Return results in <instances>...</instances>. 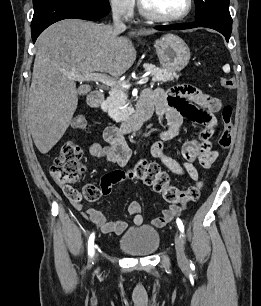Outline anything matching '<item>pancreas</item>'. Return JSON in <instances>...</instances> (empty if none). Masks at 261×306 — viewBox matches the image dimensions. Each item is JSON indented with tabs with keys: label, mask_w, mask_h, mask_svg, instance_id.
Listing matches in <instances>:
<instances>
[{
	"label": "pancreas",
	"mask_w": 261,
	"mask_h": 306,
	"mask_svg": "<svg viewBox=\"0 0 261 306\" xmlns=\"http://www.w3.org/2000/svg\"><path fill=\"white\" fill-rule=\"evenodd\" d=\"M144 68L146 71L151 72L153 82L164 83L179 78V75L174 71L161 69L155 65L145 64ZM127 91L128 88L124 87L112 88L109 92V97L104 103L105 111L116 122L125 121L130 114V109L127 107Z\"/></svg>",
	"instance_id": "cf45deb5"
}]
</instances>
